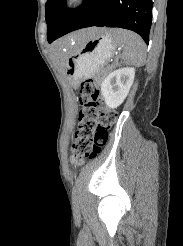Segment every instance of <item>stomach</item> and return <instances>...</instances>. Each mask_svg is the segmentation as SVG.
Wrapping results in <instances>:
<instances>
[{
    "mask_svg": "<svg viewBox=\"0 0 183 246\" xmlns=\"http://www.w3.org/2000/svg\"><path fill=\"white\" fill-rule=\"evenodd\" d=\"M112 30L101 29L96 36L83 44L73 41L64 47L67 59L66 74L75 85L81 79L96 75L115 51Z\"/></svg>",
    "mask_w": 183,
    "mask_h": 246,
    "instance_id": "1",
    "label": "stomach"
}]
</instances>
